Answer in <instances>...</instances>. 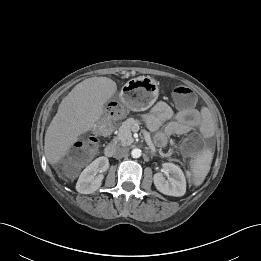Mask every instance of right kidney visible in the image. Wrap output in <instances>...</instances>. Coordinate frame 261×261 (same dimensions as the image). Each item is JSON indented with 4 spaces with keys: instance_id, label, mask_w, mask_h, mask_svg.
<instances>
[{
    "instance_id": "right-kidney-1",
    "label": "right kidney",
    "mask_w": 261,
    "mask_h": 261,
    "mask_svg": "<svg viewBox=\"0 0 261 261\" xmlns=\"http://www.w3.org/2000/svg\"><path fill=\"white\" fill-rule=\"evenodd\" d=\"M109 168L107 157H99L89 164L80 174L76 190L81 194L95 192L102 184L103 173Z\"/></svg>"
}]
</instances>
